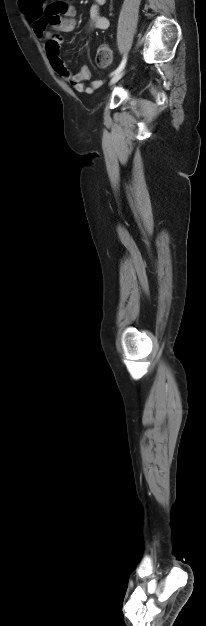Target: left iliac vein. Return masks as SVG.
<instances>
[{
    "label": "left iliac vein",
    "mask_w": 206,
    "mask_h": 626,
    "mask_svg": "<svg viewBox=\"0 0 206 626\" xmlns=\"http://www.w3.org/2000/svg\"><path fill=\"white\" fill-rule=\"evenodd\" d=\"M124 70L122 69L120 72H118L117 74H115L111 80H110V84H115L118 80H120L122 78V76L124 75Z\"/></svg>",
    "instance_id": "left-iliac-vein-1"
}]
</instances>
